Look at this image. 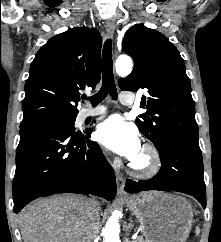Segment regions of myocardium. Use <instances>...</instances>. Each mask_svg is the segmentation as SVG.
Returning a JSON list of instances; mask_svg holds the SVG:
<instances>
[{
    "mask_svg": "<svg viewBox=\"0 0 221 242\" xmlns=\"http://www.w3.org/2000/svg\"><path fill=\"white\" fill-rule=\"evenodd\" d=\"M142 161H131L128 165L131 173L137 178H150L161 169L162 159L158 149L151 143H146L141 148Z\"/></svg>",
    "mask_w": 221,
    "mask_h": 242,
    "instance_id": "1",
    "label": "myocardium"
}]
</instances>
